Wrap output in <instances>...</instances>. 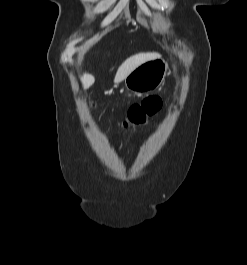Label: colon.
Returning <instances> with one entry per match:
<instances>
[{"mask_svg":"<svg viewBox=\"0 0 247 265\" xmlns=\"http://www.w3.org/2000/svg\"><path fill=\"white\" fill-rule=\"evenodd\" d=\"M162 100L157 96L145 98L140 103L134 104L128 110L126 119L123 122L125 127L145 124L161 108Z\"/></svg>","mask_w":247,"mask_h":265,"instance_id":"obj_1","label":"colon"}]
</instances>
